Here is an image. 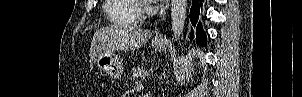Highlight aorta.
I'll list each match as a JSON object with an SVG mask.
<instances>
[{
    "label": "aorta",
    "mask_w": 302,
    "mask_h": 97,
    "mask_svg": "<svg viewBox=\"0 0 302 97\" xmlns=\"http://www.w3.org/2000/svg\"><path fill=\"white\" fill-rule=\"evenodd\" d=\"M187 0H171V30L175 41L183 35L186 20Z\"/></svg>",
    "instance_id": "762f6f07"
}]
</instances>
